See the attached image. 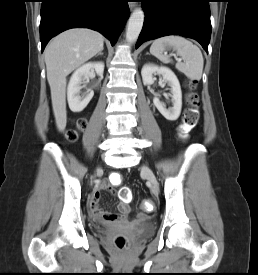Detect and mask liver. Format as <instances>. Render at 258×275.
Segmentation results:
<instances>
[{
	"instance_id": "liver-1",
	"label": "liver",
	"mask_w": 258,
	"mask_h": 275,
	"mask_svg": "<svg viewBox=\"0 0 258 275\" xmlns=\"http://www.w3.org/2000/svg\"><path fill=\"white\" fill-rule=\"evenodd\" d=\"M104 37L90 29H70L53 38L45 49L47 80L56 126L63 132L67 123L66 77L103 50Z\"/></svg>"
}]
</instances>
